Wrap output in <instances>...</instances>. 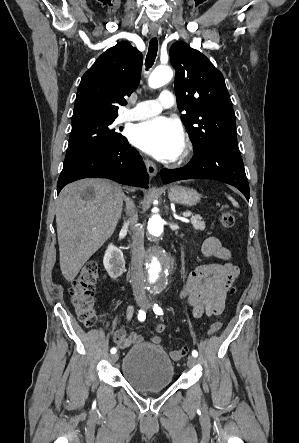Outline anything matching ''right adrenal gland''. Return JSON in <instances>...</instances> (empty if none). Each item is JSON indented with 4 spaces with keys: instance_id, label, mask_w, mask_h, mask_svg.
Masks as SVG:
<instances>
[{
    "instance_id": "1",
    "label": "right adrenal gland",
    "mask_w": 299,
    "mask_h": 443,
    "mask_svg": "<svg viewBox=\"0 0 299 443\" xmlns=\"http://www.w3.org/2000/svg\"><path fill=\"white\" fill-rule=\"evenodd\" d=\"M124 201L126 202V209H125L126 215H129V212H130V210L132 209V206H133V202H132L131 198H129L125 194H124Z\"/></svg>"
}]
</instances>
